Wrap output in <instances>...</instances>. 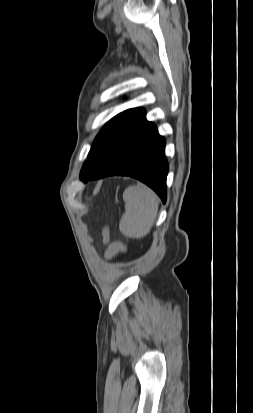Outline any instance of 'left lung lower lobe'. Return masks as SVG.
<instances>
[{"label":"left lung lower lobe","mask_w":253,"mask_h":413,"mask_svg":"<svg viewBox=\"0 0 253 413\" xmlns=\"http://www.w3.org/2000/svg\"><path fill=\"white\" fill-rule=\"evenodd\" d=\"M122 135L109 159L83 181L111 175L134 177L150 186L166 202L168 162L164 154L165 139L156 126L146 120L145 111L121 124Z\"/></svg>","instance_id":"obj_1"}]
</instances>
